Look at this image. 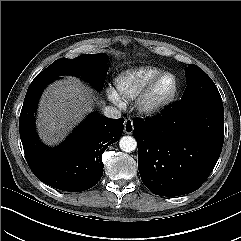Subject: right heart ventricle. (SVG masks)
Returning <instances> with one entry per match:
<instances>
[{
	"label": "right heart ventricle",
	"mask_w": 241,
	"mask_h": 241,
	"mask_svg": "<svg viewBox=\"0 0 241 241\" xmlns=\"http://www.w3.org/2000/svg\"><path fill=\"white\" fill-rule=\"evenodd\" d=\"M161 73L162 70L155 66H139L127 69L114 78V90L121 99L133 100Z\"/></svg>",
	"instance_id": "1"
}]
</instances>
